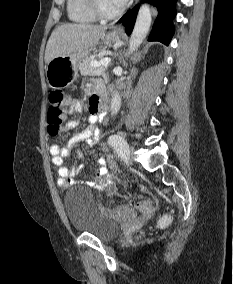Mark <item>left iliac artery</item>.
Returning a JSON list of instances; mask_svg holds the SVG:
<instances>
[{"mask_svg": "<svg viewBox=\"0 0 233 284\" xmlns=\"http://www.w3.org/2000/svg\"><path fill=\"white\" fill-rule=\"evenodd\" d=\"M109 145H111L115 151L121 156L124 157L128 150V144L126 140L119 136V135H113L108 140Z\"/></svg>", "mask_w": 233, "mask_h": 284, "instance_id": "left-iliac-artery-1", "label": "left iliac artery"}]
</instances>
